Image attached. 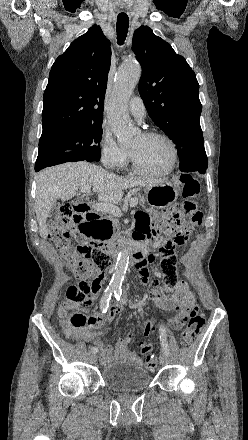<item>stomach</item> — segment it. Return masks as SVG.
I'll return each instance as SVG.
<instances>
[{"instance_id": "stomach-1", "label": "stomach", "mask_w": 248, "mask_h": 440, "mask_svg": "<svg viewBox=\"0 0 248 440\" xmlns=\"http://www.w3.org/2000/svg\"><path fill=\"white\" fill-rule=\"evenodd\" d=\"M146 201L153 208L162 209L173 204L178 198L177 188L169 182L163 181L145 188ZM104 215L103 211L99 212ZM115 225L112 218H95L92 228H79L77 241H102L104 246L111 244V232H114Z\"/></svg>"}]
</instances>
